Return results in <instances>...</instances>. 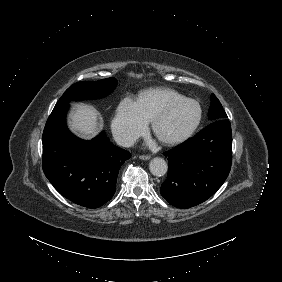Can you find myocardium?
<instances>
[{"mask_svg":"<svg viewBox=\"0 0 282 282\" xmlns=\"http://www.w3.org/2000/svg\"><path fill=\"white\" fill-rule=\"evenodd\" d=\"M192 102L195 103L198 107V113L195 116V118L179 133H177L174 136H164L160 132V126L162 122L166 119V117L175 109L179 108L180 106L184 105L185 103ZM202 117V111L200 106L194 102L192 99L187 98V97H181L178 100L170 102L161 112L157 114L155 119L153 120V131L157 138L164 144L167 145H175L179 144L183 141H185L192 133L193 131L197 128L201 121Z\"/></svg>","mask_w":282,"mask_h":282,"instance_id":"1","label":"myocardium"}]
</instances>
